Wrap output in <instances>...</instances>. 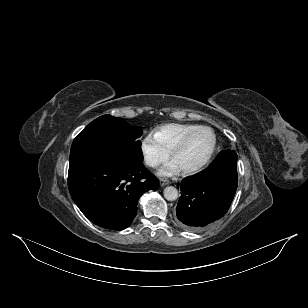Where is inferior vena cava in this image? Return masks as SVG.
Here are the masks:
<instances>
[{
	"label": "inferior vena cava",
	"mask_w": 308,
	"mask_h": 308,
	"mask_svg": "<svg viewBox=\"0 0 308 308\" xmlns=\"http://www.w3.org/2000/svg\"><path fill=\"white\" fill-rule=\"evenodd\" d=\"M147 163H148V165H150V166L156 165V161H154V160H151V161H149V162H147Z\"/></svg>",
	"instance_id": "inferior-vena-cava-1"
}]
</instances>
